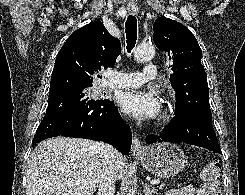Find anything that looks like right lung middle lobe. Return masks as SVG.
Segmentation results:
<instances>
[{"label": "right lung middle lobe", "instance_id": "dd1d6c3e", "mask_svg": "<svg viewBox=\"0 0 245 195\" xmlns=\"http://www.w3.org/2000/svg\"><path fill=\"white\" fill-rule=\"evenodd\" d=\"M87 88L89 87H75L50 93L46 115L62 109L94 103L96 100L87 96Z\"/></svg>", "mask_w": 245, "mask_h": 195}]
</instances>
